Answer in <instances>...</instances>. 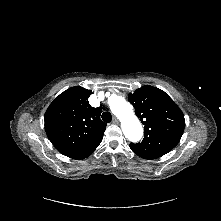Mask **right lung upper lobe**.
Wrapping results in <instances>:
<instances>
[{
  "mask_svg": "<svg viewBox=\"0 0 221 221\" xmlns=\"http://www.w3.org/2000/svg\"><path fill=\"white\" fill-rule=\"evenodd\" d=\"M91 91L75 86L61 93L46 110L45 131L54 147L73 159L88 157L100 144L106 123L100 107L88 102Z\"/></svg>",
  "mask_w": 221,
  "mask_h": 221,
  "instance_id": "obj_1",
  "label": "right lung upper lobe"
}]
</instances>
